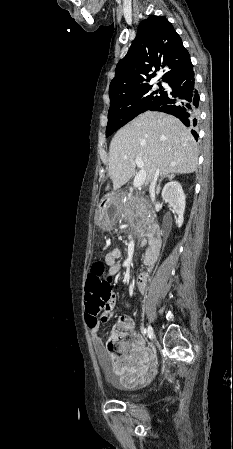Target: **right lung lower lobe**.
Segmentation results:
<instances>
[{"label":"right lung lower lobe","mask_w":233,"mask_h":449,"mask_svg":"<svg viewBox=\"0 0 233 449\" xmlns=\"http://www.w3.org/2000/svg\"><path fill=\"white\" fill-rule=\"evenodd\" d=\"M166 82L172 88V92H166L154 110L179 118L197 140L198 134L194 127L197 125L199 116V94L195 87L193 66L170 77Z\"/></svg>","instance_id":"1"}]
</instances>
